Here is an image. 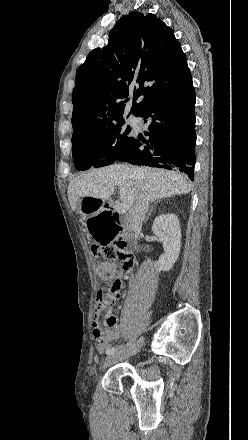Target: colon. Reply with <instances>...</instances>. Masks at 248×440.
I'll use <instances>...</instances> for the list:
<instances>
[{
  "label": "colon",
  "mask_w": 248,
  "mask_h": 440,
  "mask_svg": "<svg viewBox=\"0 0 248 440\" xmlns=\"http://www.w3.org/2000/svg\"><path fill=\"white\" fill-rule=\"evenodd\" d=\"M93 253L98 258L96 263L98 275L107 280L106 287L97 293L96 304L108 308L115 303L122 288V282L114 276L120 270H130L134 263L118 244L95 246Z\"/></svg>",
  "instance_id": "colon-1"
}]
</instances>
